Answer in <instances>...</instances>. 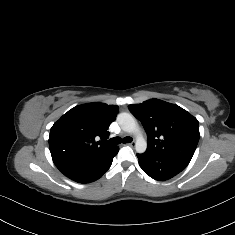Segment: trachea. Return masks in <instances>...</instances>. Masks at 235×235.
<instances>
[{
	"label": "trachea",
	"mask_w": 235,
	"mask_h": 235,
	"mask_svg": "<svg viewBox=\"0 0 235 235\" xmlns=\"http://www.w3.org/2000/svg\"><path fill=\"white\" fill-rule=\"evenodd\" d=\"M132 142V138L131 137H125L123 139H121L120 137H114L111 138L110 140H104L105 144H109V145H118L120 143H130Z\"/></svg>",
	"instance_id": "trachea-1"
}]
</instances>
